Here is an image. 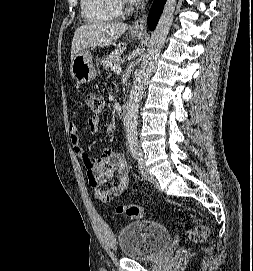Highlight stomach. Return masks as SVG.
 I'll use <instances>...</instances> for the list:
<instances>
[{
  "label": "stomach",
  "mask_w": 253,
  "mask_h": 271,
  "mask_svg": "<svg viewBox=\"0 0 253 271\" xmlns=\"http://www.w3.org/2000/svg\"><path fill=\"white\" fill-rule=\"evenodd\" d=\"M132 37L140 39L142 34L132 33ZM70 71L72 77L81 84L92 81L98 74L88 50H83L74 57L71 61Z\"/></svg>",
  "instance_id": "obj_1"
}]
</instances>
